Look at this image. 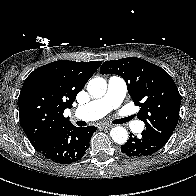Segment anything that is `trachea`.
Listing matches in <instances>:
<instances>
[{"mask_svg": "<svg viewBox=\"0 0 196 196\" xmlns=\"http://www.w3.org/2000/svg\"><path fill=\"white\" fill-rule=\"evenodd\" d=\"M133 118V116H130V117H127V118H123V119H120L119 120V123H125L126 121H128V120H130V119H132Z\"/></svg>", "mask_w": 196, "mask_h": 196, "instance_id": "trachea-1", "label": "trachea"}]
</instances>
